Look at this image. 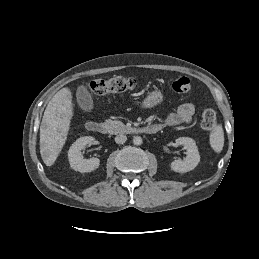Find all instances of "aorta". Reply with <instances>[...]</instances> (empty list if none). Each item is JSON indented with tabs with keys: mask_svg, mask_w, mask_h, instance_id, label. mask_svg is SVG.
<instances>
[{
	"mask_svg": "<svg viewBox=\"0 0 259 259\" xmlns=\"http://www.w3.org/2000/svg\"><path fill=\"white\" fill-rule=\"evenodd\" d=\"M142 138L140 137V136H135L134 138H133V143H134V145H141L142 144Z\"/></svg>",
	"mask_w": 259,
	"mask_h": 259,
	"instance_id": "obj_1",
	"label": "aorta"
}]
</instances>
